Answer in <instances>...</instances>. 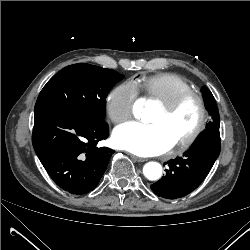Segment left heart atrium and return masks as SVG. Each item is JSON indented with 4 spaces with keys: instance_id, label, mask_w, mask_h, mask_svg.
<instances>
[{
    "instance_id": "39dd6f15",
    "label": "left heart atrium",
    "mask_w": 250,
    "mask_h": 250,
    "mask_svg": "<svg viewBox=\"0 0 250 250\" xmlns=\"http://www.w3.org/2000/svg\"><path fill=\"white\" fill-rule=\"evenodd\" d=\"M113 144L139 156L162 154L174 145L170 136L157 124L127 122L118 126L112 137Z\"/></svg>"
}]
</instances>
